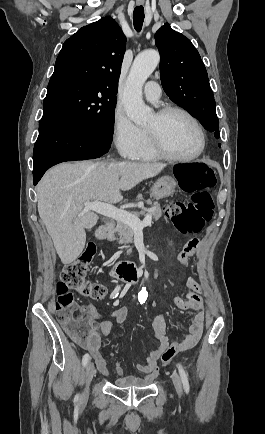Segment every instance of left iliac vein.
Instances as JSON below:
<instances>
[{
    "label": "left iliac vein",
    "mask_w": 265,
    "mask_h": 434,
    "mask_svg": "<svg viewBox=\"0 0 265 434\" xmlns=\"http://www.w3.org/2000/svg\"><path fill=\"white\" fill-rule=\"evenodd\" d=\"M171 378H172V382H173V385H174V388H175L177 395L179 397H181L182 396V385H181V381H180L179 376L177 375V373L173 372L171 375Z\"/></svg>",
    "instance_id": "obj_1"
}]
</instances>
